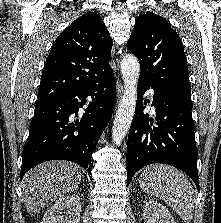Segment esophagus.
Masks as SVG:
<instances>
[{
    "instance_id": "34e87169",
    "label": "esophagus",
    "mask_w": 221,
    "mask_h": 223,
    "mask_svg": "<svg viewBox=\"0 0 221 223\" xmlns=\"http://www.w3.org/2000/svg\"><path fill=\"white\" fill-rule=\"evenodd\" d=\"M117 89H118V97H120V94L123 90V85H122V83L120 82L119 79L117 80Z\"/></svg>"
}]
</instances>
